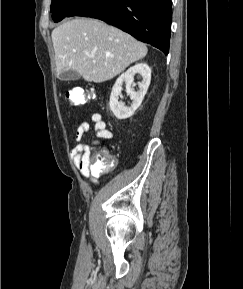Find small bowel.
Listing matches in <instances>:
<instances>
[{"label": "small bowel", "instance_id": "1", "mask_svg": "<svg viewBox=\"0 0 243 289\" xmlns=\"http://www.w3.org/2000/svg\"><path fill=\"white\" fill-rule=\"evenodd\" d=\"M91 124L94 126L96 139L92 143L87 144L83 142V138L89 132ZM113 136V132L107 128V124L100 113L91 114L88 120H84L79 124L75 132L77 144L71 152L72 158L81 175L90 179L94 184L96 183L93 177L95 173L90 166L91 147L99 146L103 140H110Z\"/></svg>", "mask_w": 243, "mask_h": 289}]
</instances>
